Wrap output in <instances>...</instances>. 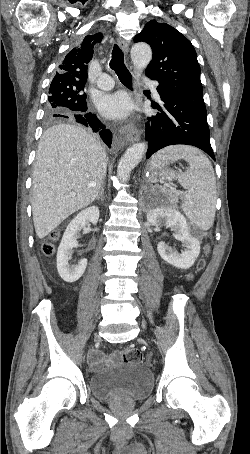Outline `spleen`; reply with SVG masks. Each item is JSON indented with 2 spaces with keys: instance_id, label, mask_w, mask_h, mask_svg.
I'll return each mask as SVG.
<instances>
[{
  "instance_id": "3e777b00",
  "label": "spleen",
  "mask_w": 250,
  "mask_h": 454,
  "mask_svg": "<svg viewBox=\"0 0 250 454\" xmlns=\"http://www.w3.org/2000/svg\"><path fill=\"white\" fill-rule=\"evenodd\" d=\"M184 159L189 168L178 177L186 189L182 210L189 220L203 231L214 222L216 210V179L209 159L197 148L188 145H173L158 151L151 159L155 173L169 163Z\"/></svg>"
}]
</instances>
